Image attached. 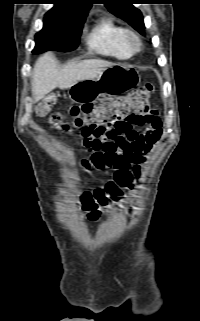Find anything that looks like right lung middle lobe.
I'll return each instance as SVG.
<instances>
[{
  "label": "right lung middle lobe",
  "mask_w": 200,
  "mask_h": 321,
  "mask_svg": "<svg viewBox=\"0 0 200 321\" xmlns=\"http://www.w3.org/2000/svg\"><path fill=\"white\" fill-rule=\"evenodd\" d=\"M87 14L52 16L46 13L43 20V29L35 35L36 46L33 53L38 54L47 50L71 51L75 49Z\"/></svg>",
  "instance_id": "obj_1"
}]
</instances>
